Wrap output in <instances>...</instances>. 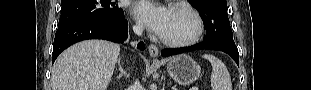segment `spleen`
<instances>
[{
    "instance_id": "3e777b00",
    "label": "spleen",
    "mask_w": 311,
    "mask_h": 90,
    "mask_svg": "<svg viewBox=\"0 0 311 90\" xmlns=\"http://www.w3.org/2000/svg\"><path fill=\"white\" fill-rule=\"evenodd\" d=\"M203 58L212 65L210 78L212 90H232L230 74L225 64L213 55L205 54Z\"/></svg>"
}]
</instances>
